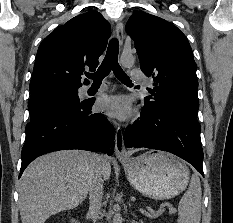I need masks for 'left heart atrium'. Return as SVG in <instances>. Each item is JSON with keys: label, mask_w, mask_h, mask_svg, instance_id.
Wrapping results in <instances>:
<instances>
[{"label": "left heart atrium", "mask_w": 233, "mask_h": 223, "mask_svg": "<svg viewBox=\"0 0 233 223\" xmlns=\"http://www.w3.org/2000/svg\"><path fill=\"white\" fill-rule=\"evenodd\" d=\"M99 110L109 118L125 121L133 114L130 99L123 95L101 99Z\"/></svg>", "instance_id": "39dd6f15"}]
</instances>
